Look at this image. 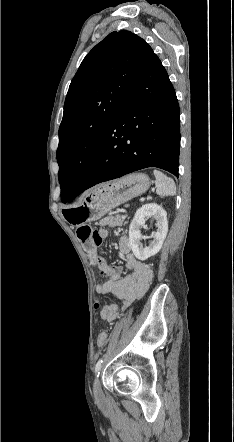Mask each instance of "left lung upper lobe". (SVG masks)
<instances>
[{
	"instance_id": "obj_1",
	"label": "left lung upper lobe",
	"mask_w": 234,
	"mask_h": 442,
	"mask_svg": "<svg viewBox=\"0 0 234 442\" xmlns=\"http://www.w3.org/2000/svg\"><path fill=\"white\" fill-rule=\"evenodd\" d=\"M153 54L142 38L122 30L110 33L82 61L71 81L59 128L63 203L80 188L123 97Z\"/></svg>"
}]
</instances>
